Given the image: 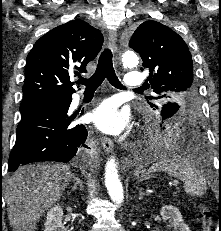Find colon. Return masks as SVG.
I'll return each mask as SVG.
<instances>
[{
    "mask_svg": "<svg viewBox=\"0 0 221 231\" xmlns=\"http://www.w3.org/2000/svg\"><path fill=\"white\" fill-rule=\"evenodd\" d=\"M197 208L200 212L202 222H203V231H210L212 226V212L203 204H197Z\"/></svg>",
    "mask_w": 221,
    "mask_h": 231,
    "instance_id": "colon-1",
    "label": "colon"
}]
</instances>
